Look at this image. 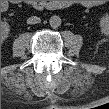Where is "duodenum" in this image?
I'll return each mask as SVG.
<instances>
[{
    "label": "duodenum",
    "mask_w": 109,
    "mask_h": 109,
    "mask_svg": "<svg viewBox=\"0 0 109 109\" xmlns=\"http://www.w3.org/2000/svg\"><path fill=\"white\" fill-rule=\"evenodd\" d=\"M27 4L39 10L49 7V4L44 1H28Z\"/></svg>",
    "instance_id": "410a0bca"
}]
</instances>
